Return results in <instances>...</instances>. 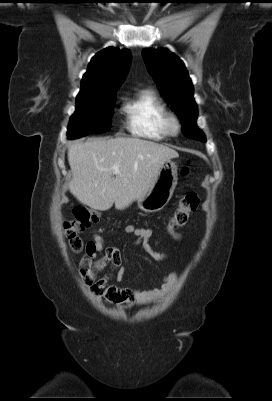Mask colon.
I'll use <instances>...</instances> for the list:
<instances>
[{
	"label": "colon",
	"instance_id": "5ec220e1",
	"mask_svg": "<svg viewBox=\"0 0 272 401\" xmlns=\"http://www.w3.org/2000/svg\"><path fill=\"white\" fill-rule=\"evenodd\" d=\"M181 173L182 175H186L188 173V167H182ZM198 205L199 198L196 194L190 193L184 196L179 201L172 215L170 226L172 228L183 226L187 222L190 214L196 211ZM73 214L74 219L65 223L64 231L70 249L75 253H79L83 249V240L80 237V233L98 224L101 219V214L96 210H91L84 206L75 207ZM109 298L112 299L111 297Z\"/></svg>",
	"mask_w": 272,
	"mask_h": 401
}]
</instances>
